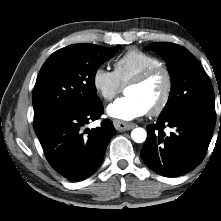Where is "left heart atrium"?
Masks as SVG:
<instances>
[{
  "label": "left heart atrium",
  "instance_id": "39dd6f15",
  "mask_svg": "<svg viewBox=\"0 0 221 221\" xmlns=\"http://www.w3.org/2000/svg\"><path fill=\"white\" fill-rule=\"evenodd\" d=\"M148 112L146 105L136 97L126 96L117 99L107 108V113L118 120L131 121Z\"/></svg>",
  "mask_w": 221,
  "mask_h": 221
}]
</instances>
